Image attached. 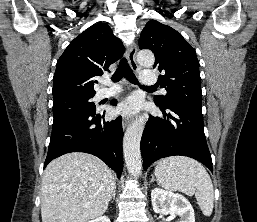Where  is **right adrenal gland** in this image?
<instances>
[{
    "instance_id": "2a0ac1e0",
    "label": "right adrenal gland",
    "mask_w": 257,
    "mask_h": 222,
    "mask_svg": "<svg viewBox=\"0 0 257 222\" xmlns=\"http://www.w3.org/2000/svg\"><path fill=\"white\" fill-rule=\"evenodd\" d=\"M115 196H116V188L114 189V191H113V193H112L111 199H112V198L115 199Z\"/></svg>"
}]
</instances>
